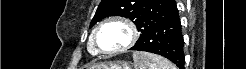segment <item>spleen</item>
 I'll list each match as a JSON object with an SVG mask.
<instances>
[{
    "label": "spleen",
    "mask_w": 246,
    "mask_h": 69,
    "mask_svg": "<svg viewBox=\"0 0 246 69\" xmlns=\"http://www.w3.org/2000/svg\"><path fill=\"white\" fill-rule=\"evenodd\" d=\"M133 60L136 69H177L168 59L147 52H134Z\"/></svg>",
    "instance_id": "3e777b00"
}]
</instances>
